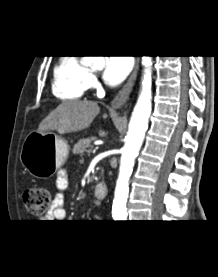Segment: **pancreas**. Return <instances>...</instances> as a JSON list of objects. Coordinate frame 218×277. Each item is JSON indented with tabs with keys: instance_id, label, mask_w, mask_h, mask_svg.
<instances>
[{
	"instance_id": "1",
	"label": "pancreas",
	"mask_w": 218,
	"mask_h": 277,
	"mask_svg": "<svg viewBox=\"0 0 218 277\" xmlns=\"http://www.w3.org/2000/svg\"><path fill=\"white\" fill-rule=\"evenodd\" d=\"M91 142L92 139L90 138H84V139H80L73 148V153L75 155H81L84 153V151H86L87 148L91 147ZM91 150V149H90ZM88 150V151H90Z\"/></svg>"
}]
</instances>
